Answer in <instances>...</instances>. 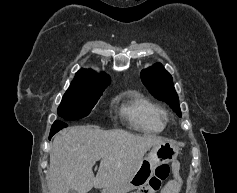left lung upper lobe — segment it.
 Masks as SVG:
<instances>
[{"label":"left lung upper lobe","instance_id":"5c2ea615","mask_svg":"<svg viewBox=\"0 0 237 193\" xmlns=\"http://www.w3.org/2000/svg\"><path fill=\"white\" fill-rule=\"evenodd\" d=\"M141 79L151 93L163 100L181 117L178 96L174 89L172 76L160 64H154L141 72Z\"/></svg>","mask_w":237,"mask_h":193}]
</instances>
